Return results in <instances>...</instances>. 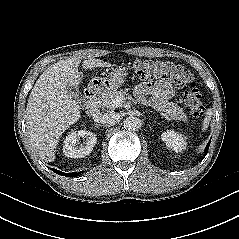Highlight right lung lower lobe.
I'll return each mask as SVG.
<instances>
[{"label":"right lung lower lobe","mask_w":239,"mask_h":239,"mask_svg":"<svg viewBox=\"0 0 239 239\" xmlns=\"http://www.w3.org/2000/svg\"><path fill=\"white\" fill-rule=\"evenodd\" d=\"M52 171H54L56 174H59V175H63V176H67V177H75V176H77L78 174L77 173H64V172H61V171H59V170H56V169H51Z\"/></svg>","instance_id":"obj_1"}]
</instances>
